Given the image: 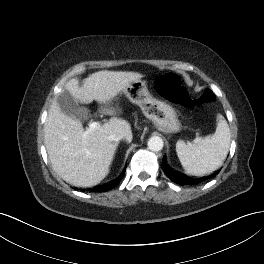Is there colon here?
I'll use <instances>...</instances> for the list:
<instances>
[{"instance_id": "obj_1", "label": "colon", "mask_w": 264, "mask_h": 264, "mask_svg": "<svg viewBox=\"0 0 264 264\" xmlns=\"http://www.w3.org/2000/svg\"><path fill=\"white\" fill-rule=\"evenodd\" d=\"M156 86L164 98L185 107L208 104L215 100L214 93L208 89L197 96L190 95L182 85L180 76L175 73H166L159 76Z\"/></svg>"}]
</instances>
